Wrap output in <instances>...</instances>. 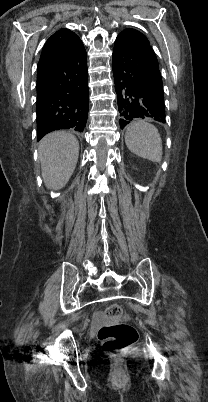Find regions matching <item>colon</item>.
I'll return each instance as SVG.
<instances>
[{
  "label": "colon",
  "mask_w": 208,
  "mask_h": 402,
  "mask_svg": "<svg viewBox=\"0 0 208 402\" xmlns=\"http://www.w3.org/2000/svg\"><path fill=\"white\" fill-rule=\"evenodd\" d=\"M106 324H100L98 339L103 341L106 353L117 356L138 338L139 331L135 324L119 323L117 318L122 316V309L119 307H109L106 311Z\"/></svg>",
  "instance_id": "colon-1"
}]
</instances>
